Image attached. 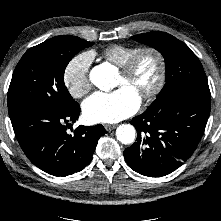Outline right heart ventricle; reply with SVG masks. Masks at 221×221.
<instances>
[{
  "label": "right heart ventricle",
  "instance_id": "e07e8e85",
  "mask_svg": "<svg viewBox=\"0 0 221 221\" xmlns=\"http://www.w3.org/2000/svg\"><path fill=\"white\" fill-rule=\"evenodd\" d=\"M139 49L141 48L137 46L114 44L107 47L102 55L106 60L121 68Z\"/></svg>",
  "mask_w": 221,
  "mask_h": 221
}]
</instances>
